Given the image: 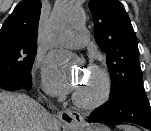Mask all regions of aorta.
Returning <instances> with one entry per match:
<instances>
[{
	"mask_svg": "<svg viewBox=\"0 0 151 131\" xmlns=\"http://www.w3.org/2000/svg\"><path fill=\"white\" fill-rule=\"evenodd\" d=\"M74 10H56L52 17V27L59 31L70 30L75 26Z\"/></svg>",
	"mask_w": 151,
	"mask_h": 131,
	"instance_id": "aorta-1",
	"label": "aorta"
}]
</instances>
